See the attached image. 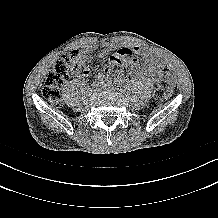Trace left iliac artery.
Instances as JSON below:
<instances>
[{
  "instance_id": "44dca946",
  "label": "left iliac artery",
  "mask_w": 218,
  "mask_h": 218,
  "mask_svg": "<svg viewBox=\"0 0 218 218\" xmlns=\"http://www.w3.org/2000/svg\"><path fill=\"white\" fill-rule=\"evenodd\" d=\"M105 81H106V83L111 84V79H110V78L107 77V78L105 79Z\"/></svg>"
}]
</instances>
